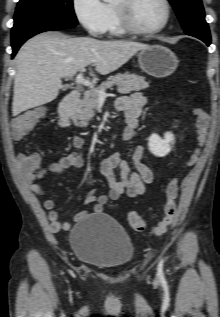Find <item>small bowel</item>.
<instances>
[{
    "instance_id": "small-bowel-1",
    "label": "small bowel",
    "mask_w": 220,
    "mask_h": 317,
    "mask_svg": "<svg viewBox=\"0 0 220 317\" xmlns=\"http://www.w3.org/2000/svg\"><path fill=\"white\" fill-rule=\"evenodd\" d=\"M146 103V98L141 93H133L131 96L121 97L117 100V108L125 113L126 127L123 132L125 139H132L136 135L138 118ZM74 151L62 156L57 162L51 163L44 168H40V160L34 164L27 160L28 155H19L18 161L23 173L25 182L30 190L38 197H45L46 190L39 183L41 178L47 173L62 174L69 168H81L83 166V156L81 149L84 141L78 134H71ZM145 147L136 146L130 155V162L121 158L118 152L112 153L101 161L100 170L106 178L110 190L108 194H95L89 191L85 197L86 203L93 204L92 212L101 213L108 201L117 200L122 195L137 197L146 192V188L153 182V173L149 165L144 161ZM134 168V171L132 170ZM119 170V178L115 171ZM43 207L48 211V220L53 231L58 232L67 230L71 224L62 222L56 211L57 204L54 200L46 198ZM88 211L80 212L76 215L77 220L83 219L88 215Z\"/></svg>"
}]
</instances>
